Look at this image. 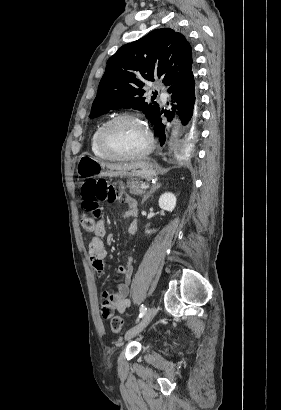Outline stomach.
Returning a JSON list of instances; mask_svg holds the SVG:
<instances>
[{
	"label": "stomach",
	"instance_id": "obj_1",
	"mask_svg": "<svg viewBox=\"0 0 281 410\" xmlns=\"http://www.w3.org/2000/svg\"><path fill=\"white\" fill-rule=\"evenodd\" d=\"M76 173L80 177L106 176V177H138L151 179L157 175L155 166L145 160L132 163L110 164L103 162L91 155H81L78 158Z\"/></svg>",
	"mask_w": 281,
	"mask_h": 410
}]
</instances>
